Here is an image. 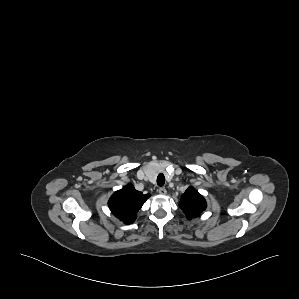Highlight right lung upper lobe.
<instances>
[{
    "label": "right lung upper lobe",
    "mask_w": 299,
    "mask_h": 299,
    "mask_svg": "<svg viewBox=\"0 0 299 299\" xmlns=\"http://www.w3.org/2000/svg\"><path fill=\"white\" fill-rule=\"evenodd\" d=\"M150 194L144 195L129 184L116 191L109 199L108 205L111 212L125 224H131L137 218V212L141 209Z\"/></svg>",
    "instance_id": "obj_1"
}]
</instances>
